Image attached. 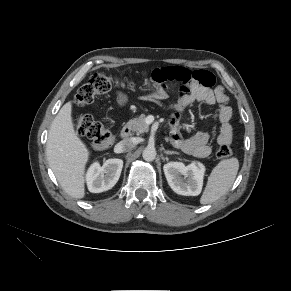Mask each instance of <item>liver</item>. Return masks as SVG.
<instances>
[{"label": "liver", "instance_id": "obj_1", "mask_svg": "<svg viewBox=\"0 0 291 291\" xmlns=\"http://www.w3.org/2000/svg\"><path fill=\"white\" fill-rule=\"evenodd\" d=\"M46 154L63 190L73 198H84V173L90 151L74 129L71 101L62 106L51 124Z\"/></svg>", "mask_w": 291, "mask_h": 291}]
</instances>
